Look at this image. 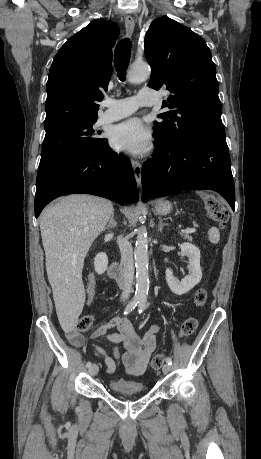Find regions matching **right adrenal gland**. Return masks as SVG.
<instances>
[{
	"label": "right adrenal gland",
	"mask_w": 261,
	"mask_h": 459,
	"mask_svg": "<svg viewBox=\"0 0 261 459\" xmlns=\"http://www.w3.org/2000/svg\"><path fill=\"white\" fill-rule=\"evenodd\" d=\"M115 227H117V222H116L115 219H114V212H113V213L111 214V217H110V219H109V222H108V224H107V226H106V229H113V228H115Z\"/></svg>",
	"instance_id": "1"
}]
</instances>
